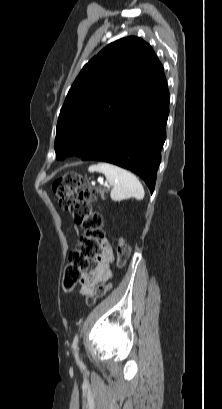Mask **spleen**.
Instances as JSON below:
<instances>
[{"mask_svg": "<svg viewBox=\"0 0 222 409\" xmlns=\"http://www.w3.org/2000/svg\"><path fill=\"white\" fill-rule=\"evenodd\" d=\"M89 172L103 173L113 186L110 197L113 201H122L128 198L142 200L144 198V189L137 177L131 172L118 166L100 162L96 165H91L88 168Z\"/></svg>", "mask_w": 222, "mask_h": 409, "instance_id": "spleen-1", "label": "spleen"}]
</instances>
